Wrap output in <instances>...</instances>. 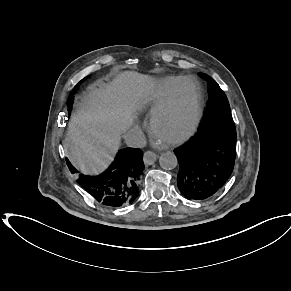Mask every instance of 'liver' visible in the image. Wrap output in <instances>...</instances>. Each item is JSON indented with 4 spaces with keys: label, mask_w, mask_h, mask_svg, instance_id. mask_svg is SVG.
<instances>
[{
    "label": "liver",
    "mask_w": 291,
    "mask_h": 291,
    "mask_svg": "<svg viewBox=\"0 0 291 291\" xmlns=\"http://www.w3.org/2000/svg\"><path fill=\"white\" fill-rule=\"evenodd\" d=\"M154 79L134 71L110 83L91 86L69 123L70 160L84 174L102 172L113 160L120 135L133 123L135 111Z\"/></svg>",
    "instance_id": "6515ba94"
}]
</instances>
